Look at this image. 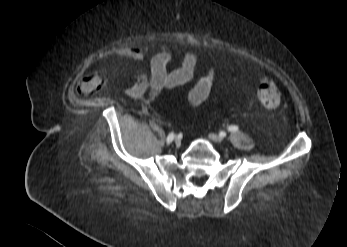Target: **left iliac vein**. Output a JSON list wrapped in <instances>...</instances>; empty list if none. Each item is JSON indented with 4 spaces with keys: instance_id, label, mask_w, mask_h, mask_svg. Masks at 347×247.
<instances>
[{
    "instance_id": "left-iliac-vein-1",
    "label": "left iliac vein",
    "mask_w": 347,
    "mask_h": 247,
    "mask_svg": "<svg viewBox=\"0 0 347 247\" xmlns=\"http://www.w3.org/2000/svg\"><path fill=\"white\" fill-rule=\"evenodd\" d=\"M209 138L218 143H221L223 141V137L215 133H210Z\"/></svg>"
}]
</instances>
